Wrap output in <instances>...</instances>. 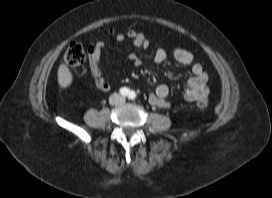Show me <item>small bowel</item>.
Segmentation results:
<instances>
[{"instance_id":"1","label":"small bowel","mask_w":272,"mask_h":198,"mask_svg":"<svg viewBox=\"0 0 272 198\" xmlns=\"http://www.w3.org/2000/svg\"><path fill=\"white\" fill-rule=\"evenodd\" d=\"M126 38H129L136 47L147 49L150 46V41L144 36V34L134 30H129L126 32V34L118 35L116 37V41L123 42ZM103 48V42L91 44L88 47V60L90 75L94 86L99 91L107 92L111 89L112 85L105 78L100 65V58ZM171 55L178 63L190 67L192 72V76L186 83L184 98L189 102H195L201 98H206L209 93L207 87L208 75L204 71L201 64L195 60L192 53L182 48L174 49ZM167 57L168 53L166 50L159 48L155 51L153 60L156 64H162L166 61ZM127 60L134 67H139L141 65L140 58L135 54H129ZM169 93L170 89L167 85H159L155 92L149 97L150 104L158 108H170L171 104L169 101H167Z\"/></svg>"}]
</instances>
